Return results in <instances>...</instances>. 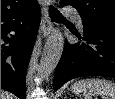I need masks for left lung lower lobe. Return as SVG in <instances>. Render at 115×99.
<instances>
[{
	"instance_id": "1",
	"label": "left lung lower lobe",
	"mask_w": 115,
	"mask_h": 99,
	"mask_svg": "<svg viewBox=\"0 0 115 99\" xmlns=\"http://www.w3.org/2000/svg\"><path fill=\"white\" fill-rule=\"evenodd\" d=\"M83 42L65 41L62 57L56 67L54 90L67 81L85 76L115 78V32L83 24V36L71 30Z\"/></svg>"
}]
</instances>
